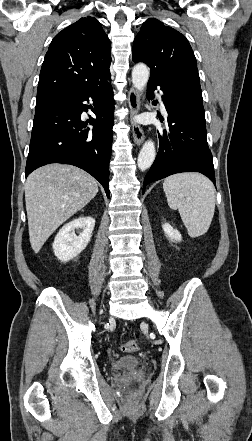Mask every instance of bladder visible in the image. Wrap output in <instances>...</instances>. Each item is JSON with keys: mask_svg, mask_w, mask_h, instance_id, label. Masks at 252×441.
Listing matches in <instances>:
<instances>
[{"mask_svg": "<svg viewBox=\"0 0 252 441\" xmlns=\"http://www.w3.org/2000/svg\"><path fill=\"white\" fill-rule=\"evenodd\" d=\"M139 365V358L135 356H122L111 364V370L114 372L125 371L137 368Z\"/></svg>", "mask_w": 252, "mask_h": 441, "instance_id": "1", "label": "bladder"}]
</instances>
